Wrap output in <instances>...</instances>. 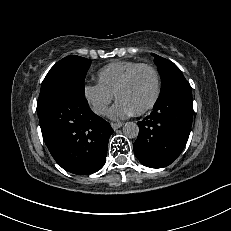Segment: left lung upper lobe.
I'll return each instance as SVG.
<instances>
[{
	"instance_id": "left-lung-upper-lobe-1",
	"label": "left lung upper lobe",
	"mask_w": 231,
	"mask_h": 231,
	"mask_svg": "<svg viewBox=\"0 0 231 231\" xmlns=\"http://www.w3.org/2000/svg\"><path fill=\"white\" fill-rule=\"evenodd\" d=\"M154 56V62L158 67V71L161 76L162 86L161 90L167 87L170 83L185 79L181 70L171 61L162 58L156 54H152Z\"/></svg>"
}]
</instances>
